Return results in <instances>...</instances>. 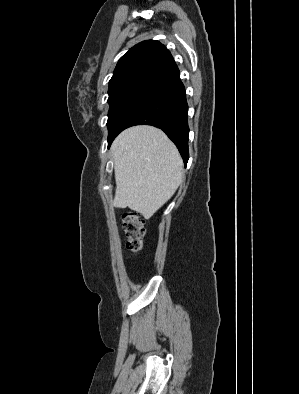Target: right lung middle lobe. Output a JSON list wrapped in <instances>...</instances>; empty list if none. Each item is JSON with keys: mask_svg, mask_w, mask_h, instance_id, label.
Listing matches in <instances>:
<instances>
[{"mask_svg": "<svg viewBox=\"0 0 299 394\" xmlns=\"http://www.w3.org/2000/svg\"><path fill=\"white\" fill-rule=\"evenodd\" d=\"M147 89L148 87L142 85H125L108 90V136L129 106Z\"/></svg>", "mask_w": 299, "mask_h": 394, "instance_id": "dd1d6c3e", "label": "right lung middle lobe"}]
</instances>
